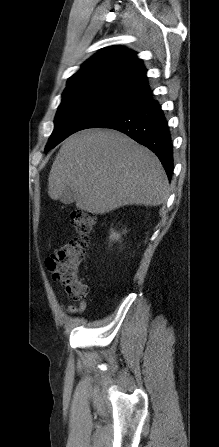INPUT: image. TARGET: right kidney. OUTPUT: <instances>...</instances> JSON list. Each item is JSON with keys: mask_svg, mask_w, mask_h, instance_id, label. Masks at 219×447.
<instances>
[{"mask_svg": "<svg viewBox=\"0 0 219 447\" xmlns=\"http://www.w3.org/2000/svg\"><path fill=\"white\" fill-rule=\"evenodd\" d=\"M110 238L113 240L114 239L118 240L120 238V235L118 233L112 232V234L110 235Z\"/></svg>", "mask_w": 219, "mask_h": 447, "instance_id": "ca27d5eb", "label": "right kidney"}]
</instances>
